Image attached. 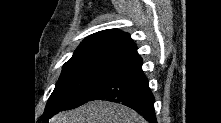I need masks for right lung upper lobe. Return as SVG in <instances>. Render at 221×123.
Instances as JSON below:
<instances>
[{
  "label": "right lung upper lobe",
  "mask_w": 221,
  "mask_h": 123,
  "mask_svg": "<svg viewBox=\"0 0 221 123\" xmlns=\"http://www.w3.org/2000/svg\"><path fill=\"white\" fill-rule=\"evenodd\" d=\"M102 50L118 53L133 58L138 56L136 45L130 35L117 29L103 30L87 37L76 52Z\"/></svg>",
  "instance_id": "cb5924a9"
}]
</instances>
